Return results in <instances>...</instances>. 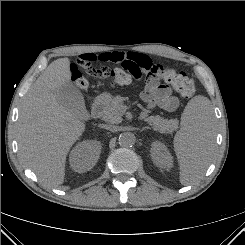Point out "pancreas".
<instances>
[{"label": "pancreas", "mask_w": 245, "mask_h": 245, "mask_svg": "<svg viewBox=\"0 0 245 245\" xmlns=\"http://www.w3.org/2000/svg\"><path fill=\"white\" fill-rule=\"evenodd\" d=\"M125 98L116 96L113 98L109 108L103 114V120L107 123L118 124L122 121V115L126 110V106L123 104ZM148 124L160 133H172L178 128V120L176 119H164L159 116H150L147 118Z\"/></svg>", "instance_id": "cf45deb5"}]
</instances>
